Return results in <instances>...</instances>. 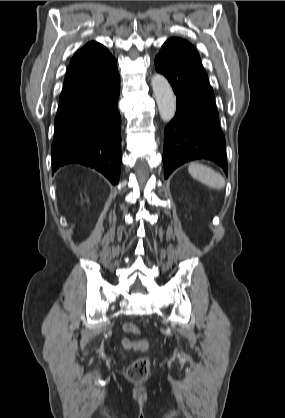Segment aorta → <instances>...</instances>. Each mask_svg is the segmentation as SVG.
<instances>
[{
	"mask_svg": "<svg viewBox=\"0 0 285 418\" xmlns=\"http://www.w3.org/2000/svg\"><path fill=\"white\" fill-rule=\"evenodd\" d=\"M153 93L157 102L160 117L170 122L176 112V98L168 80L161 74H155L151 80Z\"/></svg>",
	"mask_w": 285,
	"mask_h": 418,
	"instance_id": "1",
	"label": "aorta"
}]
</instances>
